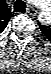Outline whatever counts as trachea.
I'll return each instance as SVG.
<instances>
[{"mask_svg":"<svg viewBox=\"0 0 51 74\" xmlns=\"http://www.w3.org/2000/svg\"><path fill=\"white\" fill-rule=\"evenodd\" d=\"M16 2H17L18 6L17 5L15 6V10H19L20 8L24 7L23 1L20 0V2H18V1H16ZM15 12H17V11H15Z\"/></svg>","mask_w":51,"mask_h":74,"instance_id":"obj_1","label":"trachea"}]
</instances>
